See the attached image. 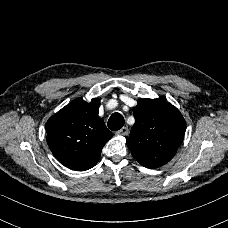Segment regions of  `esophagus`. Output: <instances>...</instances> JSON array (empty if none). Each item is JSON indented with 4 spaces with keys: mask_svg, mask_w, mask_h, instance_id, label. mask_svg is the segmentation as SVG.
Instances as JSON below:
<instances>
[{
    "mask_svg": "<svg viewBox=\"0 0 228 228\" xmlns=\"http://www.w3.org/2000/svg\"><path fill=\"white\" fill-rule=\"evenodd\" d=\"M129 133V129L127 127H122L120 130L116 132V135L126 136Z\"/></svg>",
    "mask_w": 228,
    "mask_h": 228,
    "instance_id": "obj_1",
    "label": "esophagus"
}]
</instances>
